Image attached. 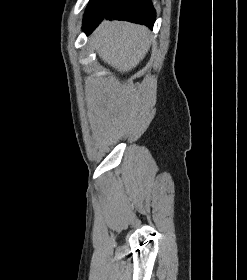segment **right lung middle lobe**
Wrapping results in <instances>:
<instances>
[{
	"label": "right lung middle lobe",
	"mask_w": 247,
	"mask_h": 280,
	"mask_svg": "<svg viewBox=\"0 0 247 280\" xmlns=\"http://www.w3.org/2000/svg\"><path fill=\"white\" fill-rule=\"evenodd\" d=\"M113 0H90L85 12L83 24L99 19Z\"/></svg>",
	"instance_id": "1"
}]
</instances>
